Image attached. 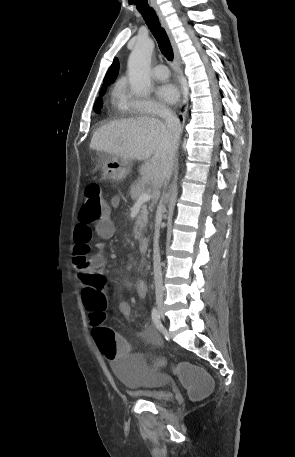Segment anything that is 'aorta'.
Segmentation results:
<instances>
[{
  "mask_svg": "<svg viewBox=\"0 0 295 457\" xmlns=\"http://www.w3.org/2000/svg\"><path fill=\"white\" fill-rule=\"evenodd\" d=\"M154 47L151 39L139 40L128 59L129 83L139 96L147 95L151 89L150 64Z\"/></svg>",
  "mask_w": 295,
  "mask_h": 457,
  "instance_id": "762f6f07",
  "label": "aorta"
}]
</instances>
